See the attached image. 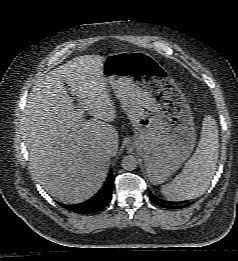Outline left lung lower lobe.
Here are the masks:
<instances>
[{
    "mask_svg": "<svg viewBox=\"0 0 238 261\" xmlns=\"http://www.w3.org/2000/svg\"><path fill=\"white\" fill-rule=\"evenodd\" d=\"M150 200L155 203L156 205L160 206V207H163V208H170V209H178V208H183V207H186L187 205L189 204H186V205H180V206H173L170 202H166V201H163L161 199H156L155 197H151Z\"/></svg>",
    "mask_w": 238,
    "mask_h": 261,
    "instance_id": "0a47b994",
    "label": "left lung lower lobe"
}]
</instances>
